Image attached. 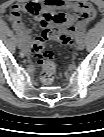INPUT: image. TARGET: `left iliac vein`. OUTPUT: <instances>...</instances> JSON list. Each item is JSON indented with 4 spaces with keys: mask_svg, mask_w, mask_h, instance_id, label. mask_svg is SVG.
I'll list each match as a JSON object with an SVG mask.
<instances>
[{
    "mask_svg": "<svg viewBox=\"0 0 104 137\" xmlns=\"http://www.w3.org/2000/svg\"><path fill=\"white\" fill-rule=\"evenodd\" d=\"M84 46H85V44H84V42H83V39L82 40H78L77 41V45H76V49L77 50H83L84 49Z\"/></svg>",
    "mask_w": 104,
    "mask_h": 137,
    "instance_id": "1",
    "label": "left iliac vein"
}]
</instances>
